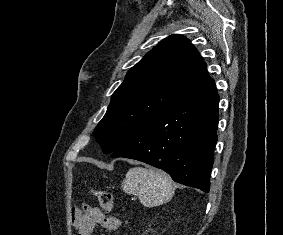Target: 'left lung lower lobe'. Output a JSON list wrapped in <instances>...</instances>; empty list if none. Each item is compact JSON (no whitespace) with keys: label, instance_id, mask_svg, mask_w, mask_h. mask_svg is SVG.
<instances>
[{"label":"left lung lower lobe","instance_id":"0a47b994","mask_svg":"<svg viewBox=\"0 0 283 235\" xmlns=\"http://www.w3.org/2000/svg\"><path fill=\"white\" fill-rule=\"evenodd\" d=\"M219 96L213 79L167 109L112 153L167 172L175 182L209 192Z\"/></svg>","mask_w":283,"mask_h":235}]
</instances>
